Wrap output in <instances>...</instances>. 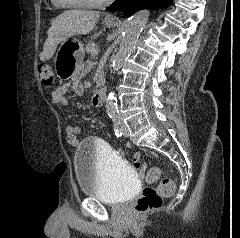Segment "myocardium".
<instances>
[{"instance_id":"1","label":"myocardium","mask_w":240,"mask_h":238,"mask_svg":"<svg viewBox=\"0 0 240 238\" xmlns=\"http://www.w3.org/2000/svg\"><path fill=\"white\" fill-rule=\"evenodd\" d=\"M113 0H102L98 2H82V1H70L60 0L65 6L78 7V8H99L110 4Z\"/></svg>"}]
</instances>
